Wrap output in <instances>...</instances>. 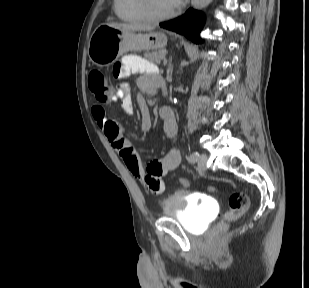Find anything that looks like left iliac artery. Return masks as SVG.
<instances>
[{
  "label": "left iliac artery",
  "mask_w": 309,
  "mask_h": 288,
  "mask_svg": "<svg viewBox=\"0 0 309 288\" xmlns=\"http://www.w3.org/2000/svg\"><path fill=\"white\" fill-rule=\"evenodd\" d=\"M198 156H199V153L198 152H193L190 157H189V161L190 162H196L198 160Z\"/></svg>",
  "instance_id": "44dca946"
}]
</instances>
